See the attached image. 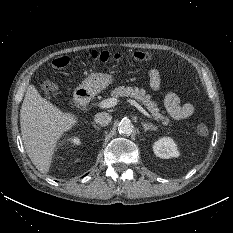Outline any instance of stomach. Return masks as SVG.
Wrapping results in <instances>:
<instances>
[{"label":"stomach","mask_w":233,"mask_h":233,"mask_svg":"<svg viewBox=\"0 0 233 233\" xmlns=\"http://www.w3.org/2000/svg\"><path fill=\"white\" fill-rule=\"evenodd\" d=\"M114 80V76L107 73H92L80 85V88L89 92L102 90L109 86Z\"/></svg>","instance_id":"0dacf381"}]
</instances>
